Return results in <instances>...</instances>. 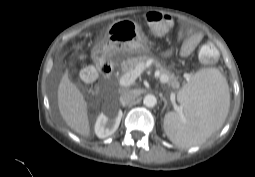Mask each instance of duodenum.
<instances>
[{
  "mask_svg": "<svg viewBox=\"0 0 255 177\" xmlns=\"http://www.w3.org/2000/svg\"><path fill=\"white\" fill-rule=\"evenodd\" d=\"M97 66L99 70L101 71L102 75L107 81H112L114 76V68L112 64L107 62L105 58L98 57L96 59Z\"/></svg>",
  "mask_w": 255,
  "mask_h": 177,
  "instance_id": "1",
  "label": "duodenum"
}]
</instances>
